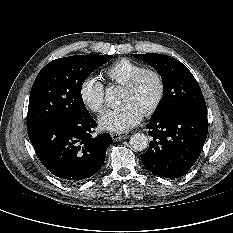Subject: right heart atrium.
Masks as SVG:
<instances>
[{
  "instance_id": "d8ad5b80",
  "label": "right heart atrium",
  "mask_w": 233,
  "mask_h": 233,
  "mask_svg": "<svg viewBox=\"0 0 233 233\" xmlns=\"http://www.w3.org/2000/svg\"><path fill=\"white\" fill-rule=\"evenodd\" d=\"M80 97L92 112L101 114L105 111V86L98 77L89 76L81 83Z\"/></svg>"
}]
</instances>
